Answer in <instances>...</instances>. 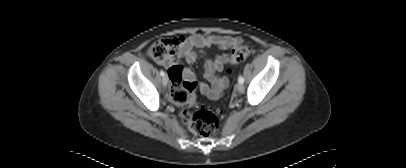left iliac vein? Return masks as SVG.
Segmentation results:
<instances>
[{
	"label": "left iliac vein",
	"instance_id": "4c4485c4",
	"mask_svg": "<svg viewBox=\"0 0 406 168\" xmlns=\"http://www.w3.org/2000/svg\"><path fill=\"white\" fill-rule=\"evenodd\" d=\"M236 89H237L238 92H243V91H244V86H243V84H242V83H238V84L236 85Z\"/></svg>",
	"mask_w": 406,
	"mask_h": 168
}]
</instances>
